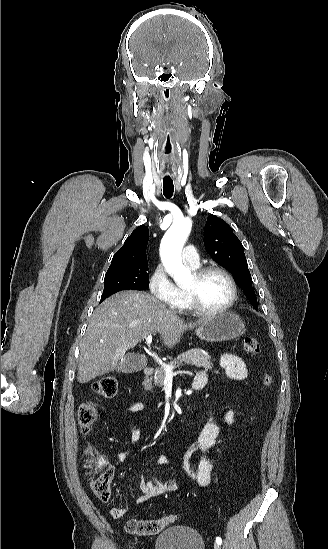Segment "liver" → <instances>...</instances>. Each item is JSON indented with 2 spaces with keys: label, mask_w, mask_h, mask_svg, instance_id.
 <instances>
[{
  "label": "liver",
  "mask_w": 328,
  "mask_h": 549,
  "mask_svg": "<svg viewBox=\"0 0 328 549\" xmlns=\"http://www.w3.org/2000/svg\"><path fill=\"white\" fill-rule=\"evenodd\" d=\"M204 319L185 323L167 305L144 291H120L95 309L80 343L78 383H88L124 363L125 353L148 335L159 333L163 345L173 349L185 331Z\"/></svg>",
  "instance_id": "liver-1"
}]
</instances>
